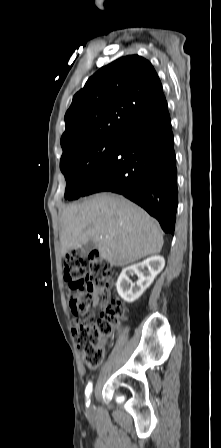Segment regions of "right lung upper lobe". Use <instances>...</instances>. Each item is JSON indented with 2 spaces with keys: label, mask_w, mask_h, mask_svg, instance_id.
<instances>
[{
  "label": "right lung upper lobe",
  "mask_w": 221,
  "mask_h": 448,
  "mask_svg": "<svg viewBox=\"0 0 221 448\" xmlns=\"http://www.w3.org/2000/svg\"><path fill=\"white\" fill-rule=\"evenodd\" d=\"M165 100L160 79L145 58L129 55L102 67L74 95L65 114L62 156L87 142L119 136Z\"/></svg>",
  "instance_id": "1"
}]
</instances>
